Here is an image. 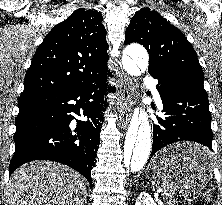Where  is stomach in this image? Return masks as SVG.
I'll use <instances>...</instances> for the list:
<instances>
[{
	"instance_id": "0dacf381",
	"label": "stomach",
	"mask_w": 222,
	"mask_h": 205,
	"mask_svg": "<svg viewBox=\"0 0 222 205\" xmlns=\"http://www.w3.org/2000/svg\"><path fill=\"white\" fill-rule=\"evenodd\" d=\"M204 150V147L189 142L163 149L147 166L149 181L157 189L179 196L199 193L211 178V165L180 163V157L187 152Z\"/></svg>"
}]
</instances>
